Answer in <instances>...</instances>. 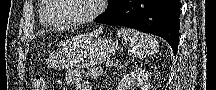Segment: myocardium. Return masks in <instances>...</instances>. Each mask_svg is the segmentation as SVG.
I'll use <instances>...</instances> for the list:
<instances>
[{"label": "myocardium", "instance_id": "obj_1", "mask_svg": "<svg viewBox=\"0 0 216 90\" xmlns=\"http://www.w3.org/2000/svg\"><path fill=\"white\" fill-rule=\"evenodd\" d=\"M90 1L94 3V7L91 13H89L81 21L76 22L73 25L60 26V25L53 24L51 21H53V18H56L58 12H62L63 2H60V0H48V2H53L54 8H52V11H48V14H46V17H44L43 22L47 25L48 28L55 31H70V30L80 28L85 24L91 22L95 18H97L102 12V6L100 5V3H105V0H90Z\"/></svg>", "mask_w": 216, "mask_h": 90}]
</instances>
